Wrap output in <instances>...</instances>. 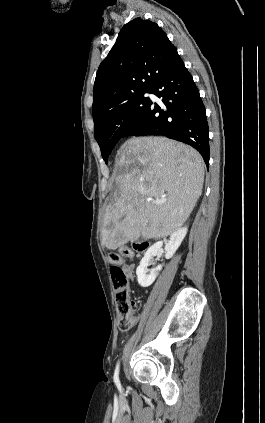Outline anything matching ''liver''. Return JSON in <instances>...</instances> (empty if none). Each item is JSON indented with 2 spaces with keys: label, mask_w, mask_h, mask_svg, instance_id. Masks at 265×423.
Listing matches in <instances>:
<instances>
[{
  "label": "liver",
  "mask_w": 265,
  "mask_h": 423,
  "mask_svg": "<svg viewBox=\"0 0 265 423\" xmlns=\"http://www.w3.org/2000/svg\"><path fill=\"white\" fill-rule=\"evenodd\" d=\"M114 179L101 238L108 250L179 229L202 194L204 161L194 148L166 137H132L117 152Z\"/></svg>",
  "instance_id": "liver-1"
}]
</instances>
